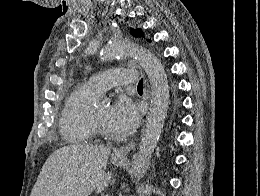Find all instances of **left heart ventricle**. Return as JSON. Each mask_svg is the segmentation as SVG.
Instances as JSON below:
<instances>
[{
  "mask_svg": "<svg viewBox=\"0 0 260 196\" xmlns=\"http://www.w3.org/2000/svg\"><path fill=\"white\" fill-rule=\"evenodd\" d=\"M95 116L100 125H102L107 131H112L108 123L109 106H96L93 107Z\"/></svg>",
  "mask_w": 260,
  "mask_h": 196,
  "instance_id": "b2bd125f",
  "label": "left heart ventricle"
}]
</instances>
